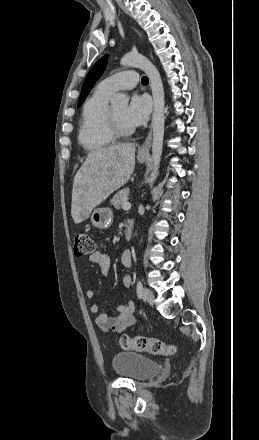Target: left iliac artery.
<instances>
[{
    "instance_id": "1",
    "label": "left iliac artery",
    "mask_w": 259,
    "mask_h": 440,
    "mask_svg": "<svg viewBox=\"0 0 259 440\" xmlns=\"http://www.w3.org/2000/svg\"><path fill=\"white\" fill-rule=\"evenodd\" d=\"M137 295L139 299L143 297V285L140 280L137 282Z\"/></svg>"
}]
</instances>
